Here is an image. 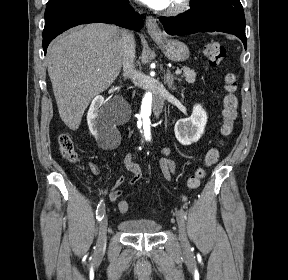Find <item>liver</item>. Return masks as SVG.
<instances>
[{
  "instance_id": "6515ba94",
  "label": "liver",
  "mask_w": 288,
  "mask_h": 280,
  "mask_svg": "<svg viewBox=\"0 0 288 280\" xmlns=\"http://www.w3.org/2000/svg\"><path fill=\"white\" fill-rule=\"evenodd\" d=\"M123 32L93 23L71 30L49 47L48 74L62 121L77 130L90 101L108 89L123 62Z\"/></svg>"
}]
</instances>
